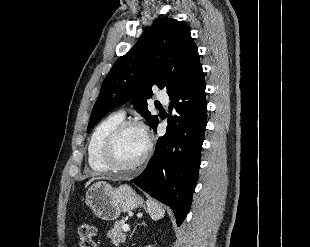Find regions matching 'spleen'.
<instances>
[{
  "instance_id": "obj_1",
  "label": "spleen",
  "mask_w": 310,
  "mask_h": 247,
  "mask_svg": "<svg viewBox=\"0 0 310 247\" xmlns=\"http://www.w3.org/2000/svg\"><path fill=\"white\" fill-rule=\"evenodd\" d=\"M148 213L152 220H159L164 217L165 210L162 208L161 204L156 202L155 200L148 199L147 200Z\"/></svg>"
}]
</instances>
